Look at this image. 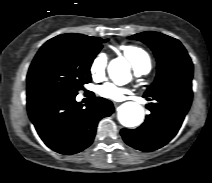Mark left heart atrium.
Masks as SVG:
<instances>
[{
  "instance_id": "1",
  "label": "left heart atrium",
  "mask_w": 212,
  "mask_h": 183,
  "mask_svg": "<svg viewBox=\"0 0 212 183\" xmlns=\"http://www.w3.org/2000/svg\"><path fill=\"white\" fill-rule=\"evenodd\" d=\"M100 96L112 100H121L129 93V90L113 83H105L99 87Z\"/></svg>"
}]
</instances>
